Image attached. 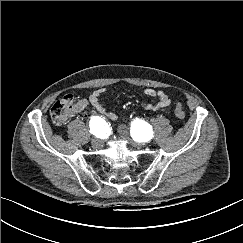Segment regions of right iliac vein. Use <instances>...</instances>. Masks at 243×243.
<instances>
[{"label":"right iliac vein","mask_w":243,"mask_h":243,"mask_svg":"<svg viewBox=\"0 0 243 243\" xmlns=\"http://www.w3.org/2000/svg\"><path fill=\"white\" fill-rule=\"evenodd\" d=\"M100 144H101V140H100V139H98V138H94V139L92 140V145H93L94 147H99Z\"/></svg>","instance_id":"63e3f726"}]
</instances>
